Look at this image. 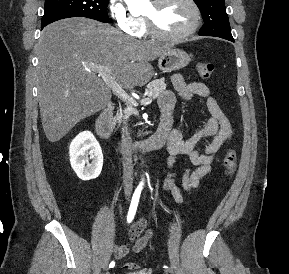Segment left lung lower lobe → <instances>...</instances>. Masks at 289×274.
Listing matches in <instances>:
<instances>
[{"mask_svg":"<svg viewBox=\"0 0 289 274\" xmlns=\"http://www.w3.org/2000/svg\"><path fill=\"white\" fill-rule=\"evenodd\" d=\"M224 39H227V40H229V41L234 42V39H233V38H224Z\"/></svg>","mask_w":289,"mask_h":274,"instance_id":"1","label":"left lung lower lobe"}]
</instances>
